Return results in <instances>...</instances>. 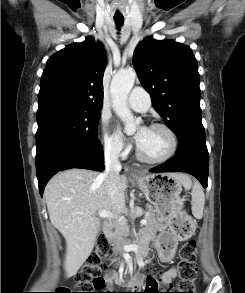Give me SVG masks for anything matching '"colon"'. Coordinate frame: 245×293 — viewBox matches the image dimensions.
I'll return each instance as SVG.
<instances>
[{
	"label": "colon",
	"instance_id": "1",
	"mask_svg": "<svg viewBox=\"0 0 245 293\" xmlns=\"http://www.w3.org/2000/svg\"><path fill=\"white\" fill-rule=\"evenodd\" d=\"M191 229V220L184 217L174 222L172 233L175 236H183ZM98 253L91 256L83 265L82 269L76 276L77 288L82 292L74 293H102L92 292L101 291L108 288V281L102 276V271L106 264L102 262V258H107L111 255V246L106 237L100 236L97 240ZM197 243L195 240H190L185 243L179 252V280L169 289L170 293H194V283L197 277ZM156 275L159 272H155ZM147 286H151L152 282L147 280ZM62 292H67L69 289L61 288ZM151 287H148L144 293H150ZM69 293V292H68Z\"/></svg>",
	"mask_w": 245,
	"mask_h": 293
}]
</instances>
